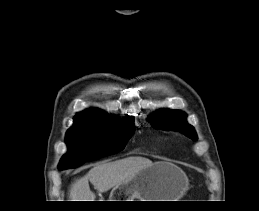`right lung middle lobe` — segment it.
<instances>
[{
    "instance_id": "dd1d6c3e",
    "label": "right lung middle lobe",
    "mask_w": 259,
    "mask_h": 211,
    "mask_svg": "<svg viewBox=\"0 0 259 211\" xmlns=\"http://www.w3.org/2000/svg\"><path fill=\"white\" fill-rule=\"evenodd\" d=\"M135 131L133 118L75 117L66 133L68 152L62 157L59 169L79 167L84 162L117 153L125 147Z\"/></svg>"
}]
</instances>
